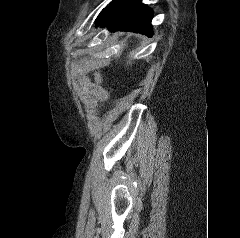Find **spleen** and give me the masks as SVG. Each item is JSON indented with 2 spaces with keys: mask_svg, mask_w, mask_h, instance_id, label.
Returning <instances> with one entry per match:
<instances>
[{
  "mask_svg": "<svg viewBox=\"0 0 240 238\" xmlns=\"http://www.w3.org/2000/svg\"><path fill=\"white\" fill-rule=\"evenodd\" d=\"M127 64H131L130 61H128Z\"/></svg>",
  "mask_w": 240,
  "mask_h": 238,
  "instance_id": "3e777b00",
  "label": "spleen"
}]
</instances>
